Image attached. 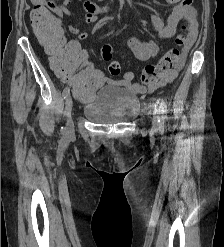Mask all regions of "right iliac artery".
<instances>
[{"label":"right iliac artery","instance_id":"obj_1","mask_svg":"<svg viewBox=\"0 0 224 247\" xmlns=\"http://www.w3.org/2000/svg\"><path fill=\"white\" fill-rule=\"evenodd\" d=\"M70 89L69 87L64 88L62 96L63 98H66L69 95Z\"/></svg>","mask_w":224,"mask_h":247}]
</instances>
